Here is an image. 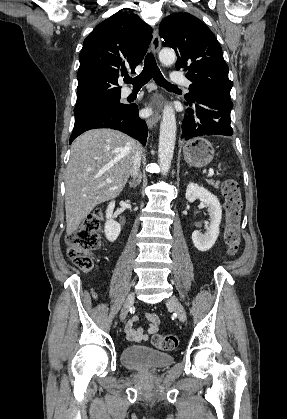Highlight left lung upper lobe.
<instances>
[{
	"instance_id": "obj_1",
	"label": "left lung upper lobe",
	"mask_w": 287,
	"mask_h": 419,
	"mask_svg": "<svg viewBox=\"0 0 287 419\" xmlns=\"http://www.w3.org/2000/svg\"><path fill=\"white\" fill-rule=\"evenodd\" d=\"M163 46L171 47L177 55L176 68L184 69L192 82L187 102L202 93L230 96L232 81L224 61L222 48L212 31L189 13H174L162 20L159 26Z\"/></svg>"
}]
</instances>
